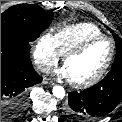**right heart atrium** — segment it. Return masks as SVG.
<instances>
[{"instance_id":"1","label":"right heart atrium","mask_w":122,"mask_h":122,"mask_svg":"<svg viewBox=\"0 0 122 122\" xmlns=\"http://www.w3.org/2000/svg\"><path fill=\"white\" fill-rule=\"evenodd\" d=\"M35 63L42 72L48 71L57 63L60 57L53 37L50 34H44L39 37L33 52Z\"/></svg>"}]
</instances>
